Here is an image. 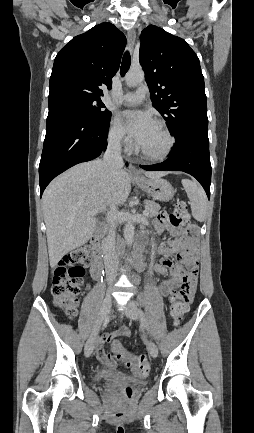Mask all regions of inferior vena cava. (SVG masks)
<instances>
[{
    "instance_id": "1",
    "label": "inferior vena cava",
    "mask_w": 254,
    "mask_h": 433,
    "mask_svg": "<svg viewBox=\"0 0 254 433\" xmlns=\"http://www.w3.org/2000/svg\"><path fill=\"white\" fill-rule=\"evenodd\" d=\"M121 137H111L108 141L107 149L103 156V161L112 171L116 173L123 167V159L121 156ZM106 221L108 224L107 236L103 239V255L107 282L112 285L117 277L118 270V255L115 248V231L117 225V210L116 205L110 207L107 213Z\"/></svg>"
}]
</instances>
